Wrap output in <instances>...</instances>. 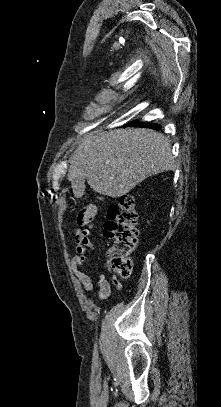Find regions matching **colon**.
<instances>
[{"instance_id": "1", "label": "colon", "mask_w": 221, "mask_h": 407, "mask_svg": "<svg viewBox=\"0 0 221 407\" xmlns=\"http://www.w3.org/2000/svg\"><path fill=\"white\" fill-rule=\"evenodd\" d=\"M97 214L95 202L85 205L77 216V223L85 226L74 233L76 240L88 238L92 234L93 222ZM137 221L134 198L123 195L109 210V218L104 226V234L112 239L113 246L108 250V265L121 278L131 274V256L137 246Z\"/></svg>"}]
</instances>
